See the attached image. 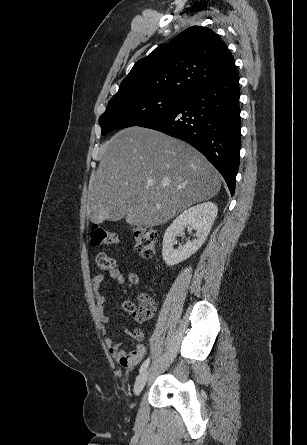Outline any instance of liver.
I'll list each match as a JSON object with an SVG mask.
<instances>
[{
  "label": "liver",
  "mask_w": 307,
  "mask_h": 445,
  "mask_svg": "<svg viewBox=\"0 0 307 445\" xmlns=\"http://www.w3.org/2000/svg\"><path fill=\"white\" fill-rule=\"evenodd\" d=\"M220 186L213 164L184 140L129 126L100 146L87 212L96 225L125 216L128 225L157 227L191 204L209 200Z\"/></svg>",
  "instance_id": "1"
}]
</instances>
